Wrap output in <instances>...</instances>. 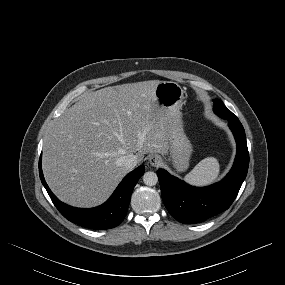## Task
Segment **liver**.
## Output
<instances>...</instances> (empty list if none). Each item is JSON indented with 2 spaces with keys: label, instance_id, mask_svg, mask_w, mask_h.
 I'll return each mask as SVG.
<instances>
[{
  "label": "liver",
  "instance_id": "obj_1",
  "mask_svg": "<svg viewBox=\"0 0 285 285\" xmlns=\"http://www.w3.org/2000/svg\"><path fill=\"white\" fill-rule=\"evenodd\" d=\"M160 81L106 87L81 96L48 130L43 172L54 194L76 207H94L129 172L123 157L166 154L168 120L155 96Z\"/></svg>",
  "mask_w": 285,
  "mask_h": 285
}]
</instances>
